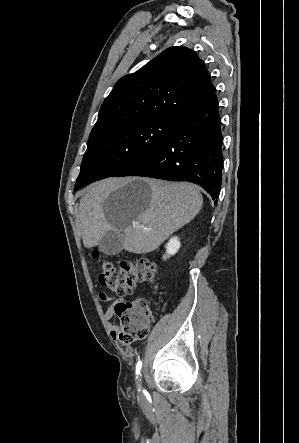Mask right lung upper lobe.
<instances>
[{
	"mask_svg": "<svg viewBox=\"0 0 299 443\" xmlns=\"http://www.w3.org/2000/svg\"><path fill=\"white\" fill-rule=\"evenodd\" d=\"M214 87L194 51L171 47L122 77L103 102L90 137L145 118H177L211 96Z\"/></svg>",
	"mask_w": 299,
	"mask_h": 443,
	"instance_id": "right-lung-upper-lobe-1",
	"label": "right lung upper lobe"
}]
</instances>
